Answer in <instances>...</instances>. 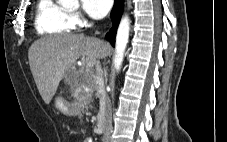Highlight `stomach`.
<instances>
[{"label": "stomach", "instance_id": "stomach-1", "mask_svg": "<svg viewBox=\"0 0 227 142\" xmlns=\"http://www.w3.org/2000/svg\"><path fill=\"white\" fill-rule=\"evenodd\" d=\"M58 108L64 112H71L69 106H67L63 99L58 98L56 101Z\"/></svg>", "mask_w": 227, "mask_h": 142}]
</instances>
